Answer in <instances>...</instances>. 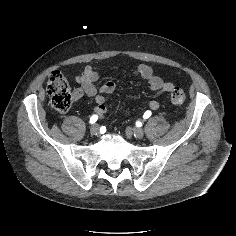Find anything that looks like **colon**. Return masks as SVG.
Returning <instances> with one entry per match:
<instances>
[{
	"label": "colon",
	"mask_w": 236,
	"mask_h": 236,
	"mask_svg": "<svg viewBox=\"0 0 236 236\" xmlns=\"http://www.w3.org/2000/svg\"><path fill=\"white\" fill-rule=\"evenodd\" d=\"M47 93L52 106L61 112L67 111L73 102V93L71 87L59 71H54L47 81ZM170 99L174 104H182L186 100L185 92L180 88H174L171 91Z\"/></svg>",
	"instance_id": "5ec220e1"
}]
</instances>
